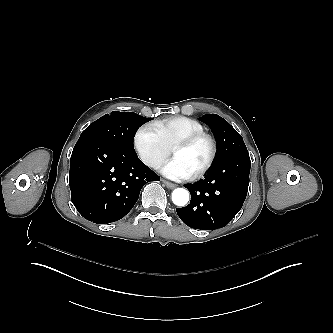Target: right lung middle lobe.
I'll return each instance as SVG.
<instances>
[{
	"instance_id": "dd1d6c3e",
	"label": "right lung middle lobe",
	"mask_w": 333,
	"mask_h": 333,
	"mask_svg": "<svg viewBox=\"0 0 333 333\" xmlns=\"http://www.w3.org/2000/svg\"><path fill=\"white\" fill-rule=\"evenodd\" d=\"M151 119L132 112L113 111L90 124L80 135L94 137L117 147L120 152L136 155L133 139L138 128Z\"/></svg>"
}]
</instances>
